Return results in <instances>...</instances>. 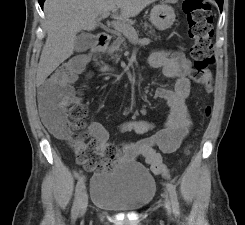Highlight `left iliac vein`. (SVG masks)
<instances>
[{
  "instance_id": "left-iliac-vein-1",
  "label": "left iliac vein",
  "mask_w": 245,
  "mask_h": 225,
  "mask_svg": "<svg viewBox=\"0 0 245 225\" xmlns=\"http://www.w3.org/2000/svg\"><path fill=\"white\" fill-rule=\"evenodd\" d=\"M165 208H166L167 214L170 215L171 214V202L167 195L165 196Z\"/></svg>"
}]
</instances>
